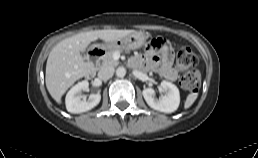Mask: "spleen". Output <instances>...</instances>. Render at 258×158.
<instances>
[{"mask_svg": "<svg viewBox=\"0 0 258 158\" xmlns=\"http://www.w3.org/2000/svg\"><path fill=\"white\" fill-rule=\"evenodd\" d=\"M198 97V93L197 92H191L190 94H188L185 103H184V108L187 109L189 107L192 106V104L195 102V100Z\"/></svg>", "mask_w": 258, "mask_h": 158, "instance_id": "3e777b00", "label": "spleen"}]
</instances>
